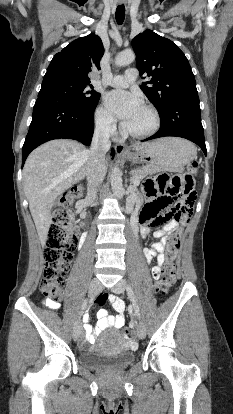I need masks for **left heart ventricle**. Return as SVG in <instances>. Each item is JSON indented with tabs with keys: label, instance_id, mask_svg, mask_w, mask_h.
Instances as JSON below:
<instances>
[{
	"label": "left heart ventricle",
	"instance_id": "1",
	"mask_svg": "<svg viewBox=\"0 0 233 414\" xmlns=\"http://www.w3.org/2000/svg\"><path fill=\"white\" fill-rule=\"evenodd\" d=\"M153 122V116L142 108L125 126L130 131L141 133L148 131L153 126Z\"/></svg>",
	"mask_w": 233,
	"mask_h": 414
}]
</instances>
